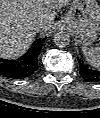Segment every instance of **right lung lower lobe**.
Here are the masks:
<instances>
[{
	"label": "right lung lower lobe",
	"mask_w": 100,
	"mask_h": 118,
	"mask_svg": "<svg viewBox=\"0 0 100 118\" xmlns=\"http://www.w3.org/2000/svg\"><path fill=\"white\" fill-rule=\"evenodd\" d=\"M41 42L32 51L18 61L1 60L0 74L7 78L23 79L31 76L38 69V54Z\"/></svg>",
	"instance_id": "obj_1"
}]
</instances>
